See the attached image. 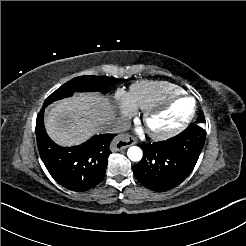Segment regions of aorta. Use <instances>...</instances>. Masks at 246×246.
Masks as SVG:
<instances>
[{
	"instance_id": "1",
	"label": "aorta",
	"mask_w": 246,
	"mask_h": 246,
	"mask_svg": "<svg viewBox=\"0 0 246 246\" xmlns=\"http://www.w3.org/2000/svg\"><path fill=\"white\" fill-rule=\"evenodd\" d=\"M128 158L133 162H138L143 157V152L141 148L137 146H132L127 151Z\"/></svg>"
}]
</instances>
